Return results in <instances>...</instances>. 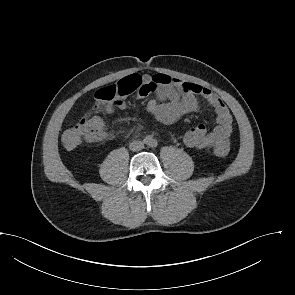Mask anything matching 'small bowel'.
Masks as SVG:
<instances>
[{
    "instance_id": "small-bowel-1",
    "label": "small bowel",
    "mask_w": 295,
    "mask_h": 295,
    "mask_svg": "<svg viewBox=\"0 0 295 295\" xmlns=\"http://www.w3.org/2000/svg\"><path fill=\"white\" fill-rule=\"evenodd\" d=\"M149 94H154L155 98L148 101V111L165 124L174 123L187 114L198 111L200 98L215 112L217 126L214 129L209 131L204 124H199L184 134L183 142L187 147L209 149L228 142L233 130L232 114L222 99L209 88L159 73L143 78V86L138 91V97L144 98ZM126 108V103L119 100L105 110L113 112ZM97 129L98 137L89 138L87 141L102 140L111 135L100 117Z\"/></svg>"
}]
</instances>
